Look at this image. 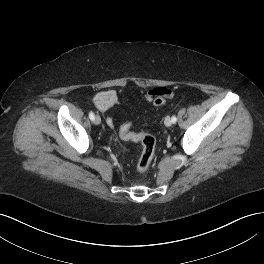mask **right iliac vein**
Listing matches in <instances>:
<instances>
[{
	"instance_id": "63e3f726",
	"label": "right iliac vein",
	"mask_w": 264,
	"mask_h": 264,
	"mask_svg": "<svg viewBox=\"0 0 264 264\" xmlns=\"http://www.w3.org/2000/svg\"><path fill=\"white\" fill-rule=\"evenodd\" d=\"M94 123L96 125H99L101 123V118L99 115H95V118H94Z\"/></svg>"
}]
</instances>
